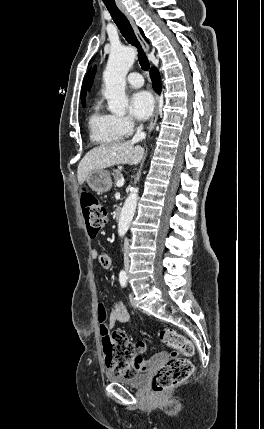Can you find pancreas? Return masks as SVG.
Returning <instances> with one entry per match:
<instances>
[{
    "instance_id": "pancreas-1",
    "label": "pancreas",
    "mask_w": 264,
    "mask_h": 429,
    "mask_svg": "<svg viewBox=\"0 0 264 429\" xmlns=\"http://www.w3.org/2000/svg\"><path fill=\"white\" fill-rule=\"evenodd\" d=\"M112 175L114 176L116 181H118L122 177V173L119 170H114Z\"/></svg>"
}]
</instances>
